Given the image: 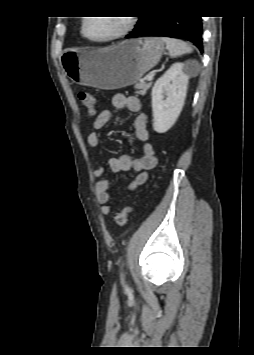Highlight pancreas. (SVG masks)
Masks as SVG:
<instances>
[{"mask_svg": "<svg viewBox=\"0 0 254 355\" xmlns=\"http://www.w3.org/2000/svg\"><path fill=\"white\" fill-rule=\"evenodd\" d=\"M152 82H141L135 85V88L138 90L136 93L144 96L148 89L151 87Z\"/></svg>", "mask_w": 254, "mask_h": 355, "instance_id": "obj_1", "label": "pancreas"}]
</instances>
